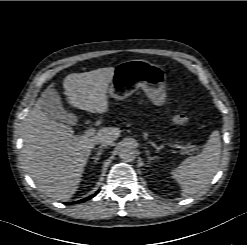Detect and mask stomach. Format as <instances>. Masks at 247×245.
Masks as SVG:
<instances>
[{
  "label": "stomach",
  "mask_w": 247,
  "mask_h": 245,
  "mask_svg": "<svg viewBox=\"0 0 247 245\" xmlns=\"http://www.w3.org/2000/svg\"><path fill=\"white\" fill-rule=\"evenodd\" d=\"M139 88L154 105H162L166 99L165 71L160 66L142 59L119 63L115 67L108 93L122 100Z\"/></svg>",
  "instance_id": "1"
}]
</instances>
